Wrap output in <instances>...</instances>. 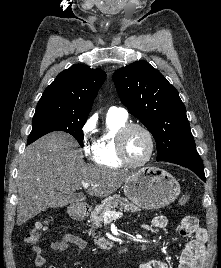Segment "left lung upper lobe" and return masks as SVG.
Wrapping results in <instances>:
<instances>
[{
  "mask_svg": "<svg viewBox=\"0 0 221 268\" xmlns=\"http://www.w3.org/2000/svg\"><path fill=\"white\" fill-rule=\"evenodd\" d=\"M113 80L122 103L155 138L157 161L196 148L185 106L158 70L137 61L116 70Z\"/></svg>",
  "mask_w": 221,
  "mask_h": 268,
  "instance_id": "obj_1",
  "label": "left lung upper lobe"
}]
</instances>
